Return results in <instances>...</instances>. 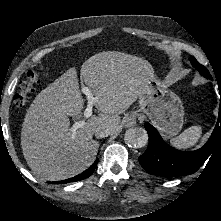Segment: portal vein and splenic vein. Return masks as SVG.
<instances>
[{"label":"portal vein and splenic vein","mask_w":221,"mask_h":221,"mask_svg":"<svg viewBox=\"0 0 221 221\" xmlns=\"http://www.w3.org/2000/svg\"><path fill=\"white\" fill-rule=\"evenodd\" d=\"M82 93L85 94L86 98H87V107L84 111V117L85 118H89L90 116H92V109H93V105L97 102L98 98L93 96L92 92L90 91V89L86 86H84L82 88ZM85 121L81 120L78 122H75L72 127H71V131L73 133L76 132V130H78L79 128H81L82 126H84Z\"/></svg>","instance_id":"obj_1"}]
</instances>
